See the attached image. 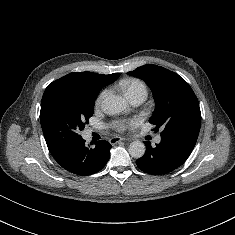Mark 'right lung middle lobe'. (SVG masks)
<instances>
[{"label":"right lung middle lobe","mask_w":235,"mask_h":235,"mask_svg":"<svg viewBox=\"0 0 235 235\" xmlns=\"http://www.w3.org/2000/svg\"><path fill=\"white\" fill-rule=\"evenodd\" d=\"M99 91L85 86L56 89L41 103L40 121L46 143L61 147L81 137L88 119L93 115Z\"/></svg>","instance_id":"obj_1"}]
</instances>
